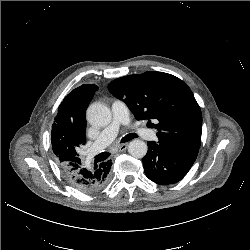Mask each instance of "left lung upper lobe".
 <instances>
[{
  "instance_id": "obj_1",
  "label": "left lung upper lobe",
  "mask_w": 250,
  "mask_h": 250,
  "mask_svg": "<svg viewBox=\"0 0 250 250\" xmlns=\"http://www.w3.org/2000/svg\"><path fill=\"white\" fill-rule=\"evenodd\" d=\"M108 89L124 100L137 120H148L158 130L160 143L199 150L202 114L185 82L171 74L148 71L115 79Z\"/></svg>"
}]
</instances>
